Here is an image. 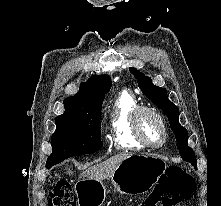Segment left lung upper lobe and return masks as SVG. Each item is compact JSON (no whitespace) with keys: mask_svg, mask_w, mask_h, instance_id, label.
<instances>
[{"mask_svg":"<svg viewBox=\"0 0 221 206\" xmlns=\"http://www.w3.org/2000/svg\"><path fill=\"white\" fill-rule=\"evenodd\" d=\"M134 74L143 94L152 100V102L162 109L168 116L171 129L176 136L177 148L182 159L190 162L194 168H197L196 157L193 150L188 147L187 130L179 123V110L167 97V91L164 88L155 86L151 78L146 77L143 73L135 68H130Z\"/></svg>","mask_w":221,"mask_h":206,"instance_id":"5c2ea615","label":"left lung upper lobe"}]
</instances>
